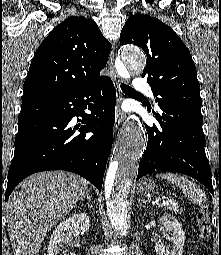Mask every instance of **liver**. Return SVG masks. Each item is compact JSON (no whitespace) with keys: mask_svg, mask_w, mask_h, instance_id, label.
I'll list each match as a JSON object with an SVG mask.
<instances>
[{"mask_svg":"<svg viewBox=\"0 0 221 255\" xmlns=\"http://www.w3.org/2000/svg\"><path fill=\"white\" fill-rule=\"evenodd\" d=\"M87 190L86 179L64 171L40 172L22 181L4 205L14 255H38L47 233Z\"/></svg>","mask_w":221,"mask_h":255,"instance_id":"1","label":"liver"}]
</instances>
